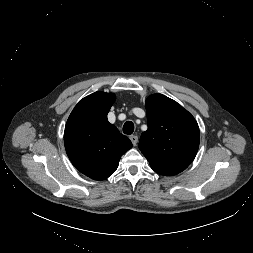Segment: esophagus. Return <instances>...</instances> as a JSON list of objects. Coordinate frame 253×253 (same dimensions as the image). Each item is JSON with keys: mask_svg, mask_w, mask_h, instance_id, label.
I'll return each instance as SVG.
<instances>
[{"mask_svg": "<svg viewBox=\"0 0 253 253\" xmlns=\"http://www.w3.org/2000/svg\"><path fill=\"white\" fill-rule=\"evenodd\" d=\"M130 140H131L133 146H136L137 143H138V136L137 135H131Z\"/></svg>", "mask_w": 253, "mask_h": 253, "instance_id": "obj_1", "label": "esophagus"}]
</instances>
